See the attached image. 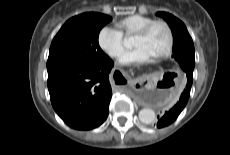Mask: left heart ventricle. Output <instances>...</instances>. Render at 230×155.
I'll list each match as a JSON object with an SVG mask.
<instances>
[{
  "instance_id": "1",
  "label": "left heart ventricle",
  "mask_w": 230,
  "mask_h": 155,
  "mask_svg": "<svg viewBox=\"0 0 230 155\" xmlns=\"http://www.w3.org/2000/svg\"><path fill=\"white\" fill-rule=\"evenodd\" d=\"M168 33L162 25L155 26L147 36H135L133 46L145 47L153 57L161 53L167 46Z\"/></svg>"
}]
</instances>
